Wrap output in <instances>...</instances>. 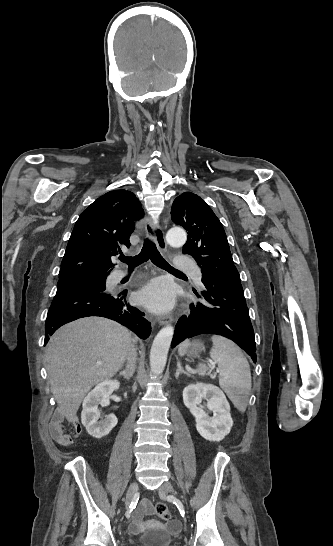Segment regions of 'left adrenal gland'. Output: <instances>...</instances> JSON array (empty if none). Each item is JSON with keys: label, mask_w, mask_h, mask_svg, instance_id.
I'll return each instance as SVG.
<instances>
[{"label": "left adrenal gland", "mask_w": 333, "mask_h": 546, "mask_svg": "<svg viewBox=\"0 0 333 546\" xmlns=\"http://www.w3.org/2000/svg\"><path fill=\"white\" fill-rule=\"evenodd\" d=\"M186 374L187 376H191L188 372H185L184 369L181 367L180 362H177V370L175 373V377L178 378L180 374Z\"/></svg>", "instance_id": "obj_1"}]
</instances>
